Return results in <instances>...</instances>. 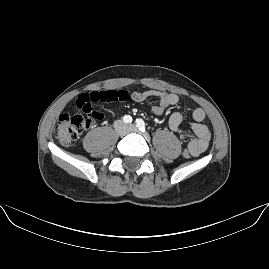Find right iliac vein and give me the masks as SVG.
I'll return each instance as SVG.
<instances>
[{"label":"right iliac vein","mask_w":269,"mask_h":269,"mask_svg":"<svg viewBox=\"0 0 269 269\" xmlns=\"http://www.w3.org/2000/svg\"><path fill=\"white\" fill-rule=\"evenodd\" d=\"M116 133L119 135V136H124L126 134V131L122 128V125H119V127L117 128L116 130Z\"/></svg>","instance_id":"1"}]
</instances>
